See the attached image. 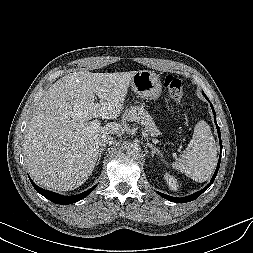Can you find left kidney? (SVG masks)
<instances>
[{"instance_id": "1", "label": "left kidney", "mask_w": 253, "mask_h": 253, "mask_svg": "<svg viewBox=\"0 0 253 253\" xmlns=\"http://www.w3.org/2000/svg\"><path fill=\"white\" fill-rule=\"evenodd\" d=\"M164 178L167 184L169 185L170 189L177 191L179 187L177 183V179L174 176L170 175L169 173H165Z\"/></svg>"}]
</instances>
